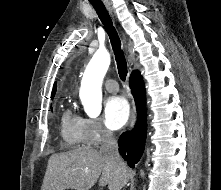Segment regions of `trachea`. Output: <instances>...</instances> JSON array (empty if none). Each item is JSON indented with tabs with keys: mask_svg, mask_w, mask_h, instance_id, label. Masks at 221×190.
Segmentation results:
<instances>
[{
	"mask_svg": "<svg viewBox=\"0 0 221 190\" xmlns=\"http://www.w3.org/2000/svg\"><path fill=\"white\" fill-rule=\"evenodd\" d=\"M91 4L93 5L101 22L104 24V27L106 28V31L109 35L112 48L115 54L120 79L122 81H125L126 76H127V62L125 59L124 52L121 49V41L118 36V33L115 27L113 26L109 13L107 12L102 1H91Z\"/></svg>",
	"mask_w": 221,
	"mask_h": 190,
	"instance_id": "obj_1",
	"label": "trachea"
}]
</instances>
